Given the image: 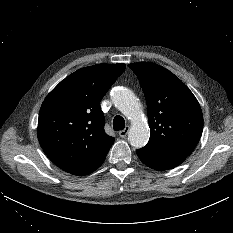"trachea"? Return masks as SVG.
Returning a JSON list of instances; mask_svg holds the SVG:
<instances>
[{
    "label": "trachea",
    "instance_id": "trachea-1",
    "mask_svg": "<svg viewBox=\"0 0 233 233\" xmlns=\"http://www.w3.org/2000/svg\"><path fill=\"white\" fill-rule=\"evenodd\" d=\"M125 128V120L121 116H115L113 120V129L115 131L123 130Z\"/></svg>",
    "mask_w": 233,
    "mask_h": 233
}]
</instances>
